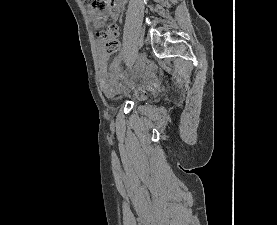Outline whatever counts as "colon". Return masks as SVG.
<instances>
[{"label":"colon","mask_w":277,"mask_h":225,"mask_svg":"<svg viewBox=\"0 0 277 225\" xmlns=\"http://www.w3.org/2000/svg\"><path fill=\"white\" fill-rule=\"evenodd\" d=\"M111 2L112 0H83V3L90 9H93L100 17H107ZM100 37L104 40V50L107 54L118 51L120 45L117 39V28L115 26H110L102 30ZM134 94L142 98L146 94V89L138 88L134 91Z\"/></svg>","instance_id":"obj_1"}]
</instances>
